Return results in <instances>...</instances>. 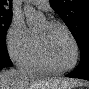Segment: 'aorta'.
Here are the masks:
<instances>
[{
	"label": "aorta",
	"instance_id": "aorta-1",
	"mask_svg": "<svg viewBox=\"0 0 89 89\" xmlns=\"http://www.w3.org/2000/svg\"><path fill=\"white\" fill-rule=\"evenodd\" d=\"M29 2L30 0H27V4L24 6V12L28 27L33 28L44 19V15L36 11L35 8L29 4Z\"/></svg>",
	"mask_w": 89,
	"mask_h": 89
}]
</instances>
